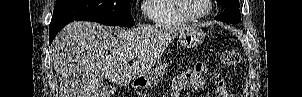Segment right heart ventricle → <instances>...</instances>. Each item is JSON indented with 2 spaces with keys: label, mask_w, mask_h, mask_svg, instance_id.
<instances>
[{
  "label": "right heart ventricle",
  "mask_w": 302,
  "mask_h": 97,
  "mask_svg": "<svg viewBox=\"0 0 302 97\" xmlns=\"http://www.w3.org/2000/svg\"><path fill=\"white\" fill-rule=\"evenodd\" d=\"M145 14L158 26H181L188 21L174 7V0H147Z\"/></svg>",
  "instance_id": "e07e8e85"
}]
</instances>
